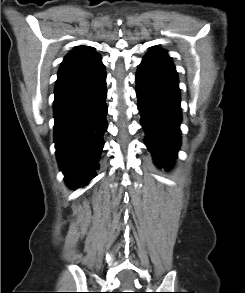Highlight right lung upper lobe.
Instances as JSON below:
<instances>
[{
    "label": "right lung upper lobe",
    "mask_w": 245,
    "mask_h": 293,
    "mask_svg": "<svg viewBox=\"0 0 245 293\" xmlns=\"http://www.w3.org/2000/svg\"><path fill=\"white\" fill-rule=\"evenodd\" d=\"M103 66L101 56L88 46H77L63 60L55 91L76 83Z\"/></svg>",
    "instance_id": "cb5924a9"
}]
</instances>
